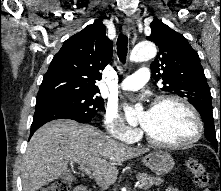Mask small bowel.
<instances>
[{
    "label": "small bowel",
    "mask_w": 221,
    "mask_h": 191,
    "mask_svg": "<svg viewBox=\"0 0 221 191\" xmlns=\"http://www.w3.org/2000/svg\"><path fill=\"white\" fill-rule=\"evenodd\" d=\"M165 191H178V190L174 187H168V188H166Z\"/></svg>",
    "instance_id": "small-bowel-1"
}]
</instances>
